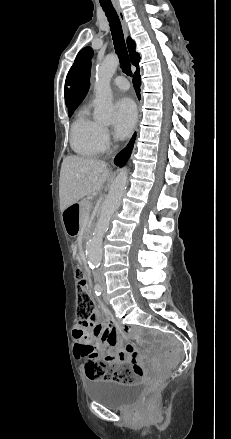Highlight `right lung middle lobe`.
Wrapping results in <instances>:
<instances>
[{
	"label": "right lung middle lobe",
	"instance_id": "1",
	"mask_svg": "<svg viewBox=\"0 0 231 439\" xmlns=\"http://www.w3.org/2000/svg\"><path fill=\"white\" fill-rule=\"evenodd\" d=\"M74 110H75V109H71V110H69V116H71V115L73 114Z\"/></svg>",
	"mask_w": 231,
	"mask_h": 439
}]
</instances>
